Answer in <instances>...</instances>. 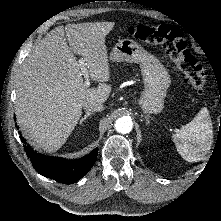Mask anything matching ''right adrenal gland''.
Masks as SVG:
<instances>
[{"mask_svg": "<svg viewBox=\"0 0 221 221\" xmlns=\"http://www.w3.org/2000/svg\"><path fill=\"white\" fill-rule=\"evenodd\" d=\"M92 114L94 113H91V112H86V114L84 115V117H82V119L80 120V124H82L87 117L91 116Z\"/></svg>", "mask_w": 221, "mask_h": 221, "instance_id": "1", "label": "right adrenal gland"}]
</instances>
